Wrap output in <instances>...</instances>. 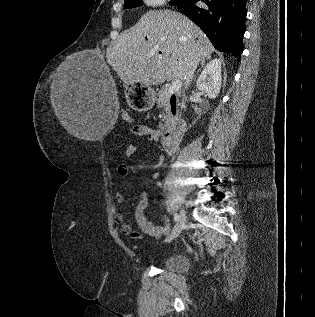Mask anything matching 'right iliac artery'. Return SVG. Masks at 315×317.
<instances>
[{
  "label": "right iliac artery",
  "instance_id": "1",
  "mask_svg": "<svg viewBox=\"0 0 315 317\" xmlns=\"http://www.w3.org/2000/svg\"><path fill=\"white\" fill-rule=\"evenodd\" d=\"M174 220H175L176 222H178V220H179V215H178L177 213H175V215H174Z\"/></svg>",
  "mask_w": 315,
  "mask_h": 317
}]
</instances>
